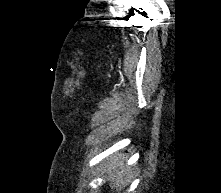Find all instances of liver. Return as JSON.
<instances>
[{
    "mask_svg": "<svg viewBox=\"0 0 221 193\" xmlns=\"http://www.w3.org/2000/svg\"><path fill=\"white\" fill-rule=\"evenodd\" d=\"M125 158L121 154L110 156L107 161V174L110 181H113L111 188H116L121 191L127 185L128 179L125 180L127 172H130L129 168H124Z\"/></svg>",
    "mask_w": 221,
    "mask_h": 193,
    "instance_id": "liver-1",
    "label": "liver"
}]
</instances>
